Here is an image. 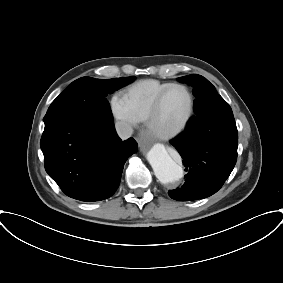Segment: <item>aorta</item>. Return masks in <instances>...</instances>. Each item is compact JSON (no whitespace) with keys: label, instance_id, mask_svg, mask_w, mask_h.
<instances>
[{"label":"aorta","instance_id":"762f6f07","mask_svg":"<svg viewBox=\"0 0 283 283\" xmlns=\"http://www.w3.org/2000/svg\"><path fill=\"white\" fill-rule=\"evenodd\" d=\"M155 176L163 183H172L183 177V169L168 153L164 145L155 144L147 153Z\"/></svg>","mask_w":283,"mask_h":283}]
</instances>
